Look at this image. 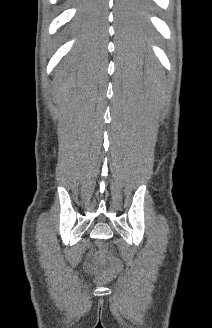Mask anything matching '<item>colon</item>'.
I'll return each mask as SVG.
<instances>
[{
    "instance_id": "5ec220e1",
    "label": "colon",
    "mask_w": 212,
    "mask_h": 328,
    "mask_svg": "<svg viewBox=\"0 0 212 328\" xmlns=\"http://www.w3.org/2000/svg\"><path fill=\"white\" fill-rule=\"evenodd\" d=\"M97 260L101 263H105L109 266L110 275L117 273L121 267V261L115 256L111 255L106 249L101 248L97 255Z\"/></svg>"
}]
</instances>
